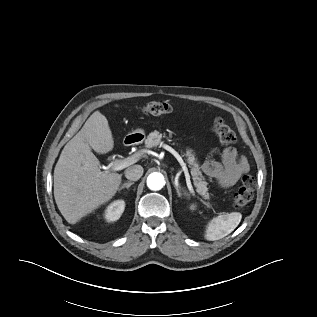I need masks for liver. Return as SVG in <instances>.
Here are the masks:
<instances>
[{
    "instance_id": "6515ba94",
    "label": "liver",
    "mask_w": 317,
    "mask_h": 317,
    "mask_svg": "<svg viewBox=\"0 0 317 317\" xmlns=\"http://www.w3.org/2000/svg\"><path fill=\"white\" fill-rule=\"evenodd\" d=\"M114 141L107 118L95 111L64 146L54 169V197L69 224L109 201L119 189L121 174L100 170L91 149L105 154Z\"/></svg>"
}]
</instances>
